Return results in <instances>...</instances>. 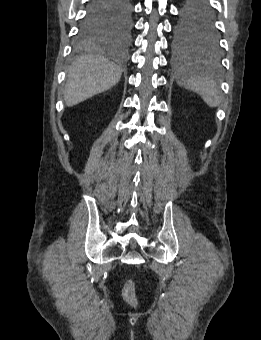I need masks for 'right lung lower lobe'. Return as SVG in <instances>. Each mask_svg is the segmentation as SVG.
Here are the masks:
<instances>
[{
	"label": "right lung lower lobe",
	"instance_id": "right-lung-lower-lobe-1",
	"mask_svg": "<svg viewBox=\"0 0 261 340\" xmlns=\"http://www.w3.org/2000/svg\"><path fill=\"white\" fill-rule=\"evenodd\" d=\"M128 1L130 2V0ZM126 5L127 0H91L88 7L87 15L93 16L97 14H102L106 16H115L123 11Z\"/></svg>",
	"mask_w": 261,
	"mask_h": 340
}]
</instances>
